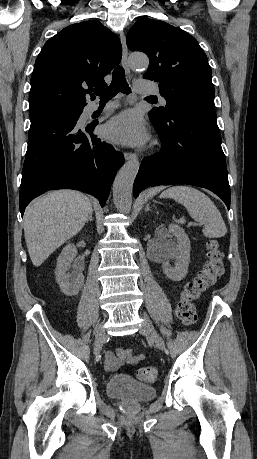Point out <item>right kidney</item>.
<instances>
[{"mask_svg": "<svg viewBox=\"0 0 257 459\" xmlns=\"http://www.w3.org/2000/svg\"><path fill=\"white\" fill-rule=\"evenodd\" d=\"M76 255V246L68 244L57 259L56 280L61 291L67 296L76 295L84 283V276L78 267H74L71 273L68 272Z\"/></svg>", "mask_w": 257, "mask_h": 459, "instance_id": "obj_1", "label": "right kidney"}]
</instances>
